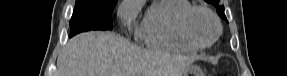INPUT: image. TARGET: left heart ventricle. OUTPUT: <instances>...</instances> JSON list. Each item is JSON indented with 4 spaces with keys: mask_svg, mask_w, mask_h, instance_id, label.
Returning <instances> with one entry per match:
<instances>
[{
    "mask_svg": "<svg viewBox=\"0 0 287 76\" xmlns=\"http://www.w3.org/2000/svg\"><path fill=\"white\" fill-rule=\"evenodd\" d=\"M190 30L193 36L200 42H208L216 34L214 22L204 12H196L192 16Z\"/></svg>",
    "mask_w": 287,
    "mask_h": 76,
    "instance_id": "1",
    "label": "left heart ventricle"
}]
</instances>
